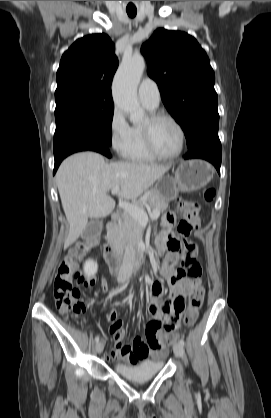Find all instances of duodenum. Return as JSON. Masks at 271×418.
I'll return each mask as SVG.
<instances>
[{
	"label": "duodenum",
	"instance_id": "obj_1",
	"mask_svg": "<svg viewBox=\"0 0 271 418\" xmlns=\"http://www.w3.org/2000/svg\"><path fill=\"white\" fill-rule=\"evenodd\" d=\"M119 218L117 212H113L110 215V223L108 225L107 232V242L104 245V257L109 269L112 272L119 270L122 264V251L119 247L117 237H116V228L115 223ZM143 250H138L134 253L131 259V267L133 270H138L143 263Z\"/></svg>",
	"mask_w": 271,
	"mask_h": 418
}]
</instances>
